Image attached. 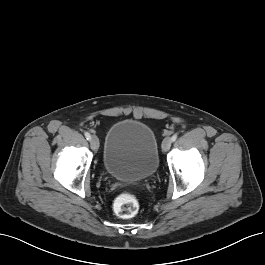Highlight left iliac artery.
Instances as JSON below:
<instances>
[{
    "label": "left iliac artery",
    "instance_id": "1",
    "mask_svg": "<svg viewBox=\"0 0 265 265\" xmlns=\"http://www.w3.org/2000/svg\"><path fill=\"white\" fill-rule=\"evenodd\" d=\"M178 135L177 134H174L172 137H171V140L172 142H174L176 139H177Z\"/></svg>",
    "mask_w": 265,
    "mask_h": 265
}]
</instances>
